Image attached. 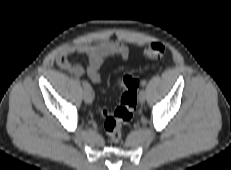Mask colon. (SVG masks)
Wrapping results in <instances>:
<instances>
[{
  "label": "colon",
  "mask_w": 231,
  "mask_h": 170,
  "mask_svg": "<svg viewBox=\"0 0 231 170\" xmlns=\"http://www.w3.org/2000/svg\"><path fill=\"white\" fill-rule=\"evenodd\" d=\"M164 53L165 48L160 43H150L145 48V55L151 59H160ZM117 84L123 89L120 105L113 112L104 108L100 110L105 117V132L115 143L123 138L122 125L130 122L133 117L137 105L139 82L135 77L127 74L118 78Z\"/></svg>",
  "instance_id": "1"
}]
</instances>
